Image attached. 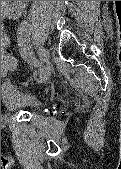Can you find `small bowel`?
Masks as SVG:
<instances>
[{"mask_svg": "<svg viewBox=\"0 0 121 169\" xmlns=\"http://www.w3.org/2000/svg\"><path fill=\"white\" fill-rule=\"evenodd\" d=\"M26 3L27 1H6L2 7V19H13L18 17L21 14ZM3 42L8 43V39L6 37H3L2 43Z\"/></svg>", "mask_w": 121, "mask_h": 169, "instance_id": "1", "label": "small bowel"}]
</instances>
